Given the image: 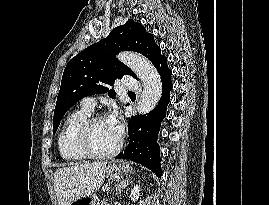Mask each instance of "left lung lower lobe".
I'll return each mask as SVG.
<instances>
[{"label": "left lung lower lobe", "mask_w": 269, "mask_h": 205, "mask_svg": "<svg viewBox=\"0 0 269 205\" xmlns=\"http://www.w3.org/2000/svg\"><path fill=\"white\" fill-rule=\"evenodd\" d=\"M162 81V97L158 105L148 114L136 116L129 121L128 134L130 141L124 152L117 155L116 159H129L137 162L158 177L161 176L160 150L157 144V136L160 125L166 116V108L170 101L171 70L167 66V58L161 57L155 65Z\"/></svg>", "instance_id": "obj_1"}]
</instances>
